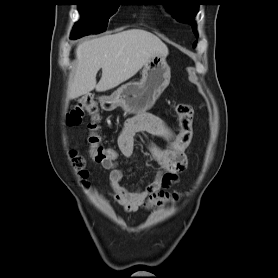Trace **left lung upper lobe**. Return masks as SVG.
Here are the masks:
<instances>
[{
  "mask_svg": "<svg viewBox=\"0 0 278 278\" xmlns=\"http://www.w3.org/2000/svg\"><path fill=\"white\" fill-rule=\"evenodd\" d=\"M162 5L173 7L172 15L178 20L192 25L194 34L197 36L194 17L197 14L199 3L197 0H159ZM195 45V44H194Z\"/></svg>",
  "mask_w": 278,
  "mask_h": 278,
  "instance_id": "1",
  "label": "left lung upper lobe"
}]
</instances>
